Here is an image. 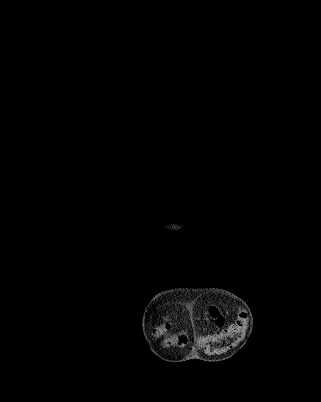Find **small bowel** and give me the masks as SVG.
<instances>
[{
  "label": "small bowel",
  "instance_id": "small-bowel-1",
  "mask_svg": "<svg viewBox=\"0 0 321 402\" xmlns=\"http://www.w3.org/2000/svg\"><path fill=\"white\" fill-rule=\"evenodd\" d=\"M209 313L218 327H222L224 325L225 319L216 306L210 305Z\"/></svg>",
  "mask_w": 321,
  "mask_h": 402
}]
</instances>
